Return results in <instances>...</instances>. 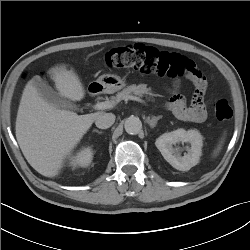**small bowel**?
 Returning <instances> with one entry per match:
<instances>
[{"mask_svg": "<svg viewBox=\"0 0 250 250\" xmlns=\"http://www.w3.org/2000/svg\"><path fill=\"white\" fill-rule=\"evenodd\" d=\"M189 80L195 83V77H188ZM179 86V80L174 81L173 89L171 90V97L166 101L167 109L171 110L173 114L183 120L201 123L207 118V111L204 101L194 102L192 101L191 106H187L183 97L177 93Z\"/></svg>", "mask_w": 250, "mask_h": 250, "instance_id": "c3829d8e", "label": "small bowel"}]
</instances>
